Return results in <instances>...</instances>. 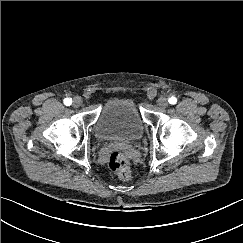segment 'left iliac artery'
<instances>
[{
	"label": "left iliac artery",
	"mask_w": 243,
	"mask_h": 243,
	"mask_svg": "<svg viewBox=\"0 0 243 243\" xmlns=\"http://www.w3.org/2000/svg\"><path fill=\"white\" fill-rule=\"evenodd\" d=\"M168 101H169L170 104L174 105V104H176L177 99H176V97L172 96V97L169 98Z\"/></svg>",
	"instance_id": "left-iliac-artery-1"
}]
</instances>
